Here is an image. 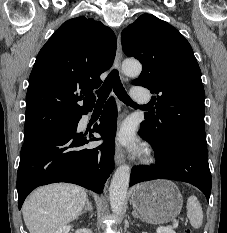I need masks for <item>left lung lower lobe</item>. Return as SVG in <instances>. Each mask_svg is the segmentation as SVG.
<instances>
[{"label":"left lung lower lobe","mask_w":227,"mask_h":233,"mask_svg":"<svg viewBox=\"0 0 227 233\" xmlns=\"http://www.w3.org/2000/svg\"><path fill=\"white\" fill-rule=\"evenodd\" d=\"M139 134L152 145L156 163L150 167H133L130 186L154 179L178 180L199 188L209 201L212 181L206 147L183 138L168 139L156 145L141 131Z\"/></svg>","instance_id":"obj_1"}]
</instances>
